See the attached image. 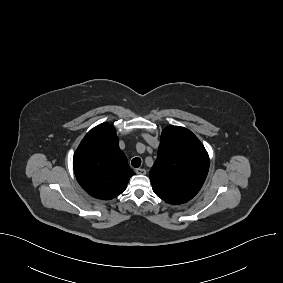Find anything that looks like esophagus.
<instances>
[{"label":"esophagus","instance_id":"obj_1","mask_svg":"<svg viewBox=\"0 0 283 283\" xmlns=\"http://www.w3.org/2000/svg\"><path fill=\"white\" fill-rule=\"evenodd\" d=\"M135 172H136L138 175H144V174H146V170L143 169V168H137V169L135 170Z\"/></svg>","mask_w":283,"mask_h":283}]
</instances>
